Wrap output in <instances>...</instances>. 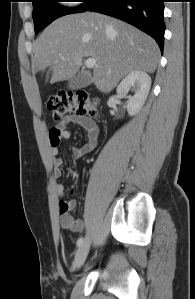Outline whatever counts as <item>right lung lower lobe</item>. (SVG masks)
Segmentation results:
<instances>
[{"instance_id": "98d812e1", "label": "right lung lower lobe", "mask_w": 195, "mask_h": 299, "mask_svg": "<svg viewBox=\"0 0 195 299\" xmlns=\"http://www.w3.org/2000/svg\"><path fill=\"white\" fill-rule=\"evenodd\" d=\"M164 1L93 0L87 10L113 16L139 28L153 37L162 51L165 32Z\"/></svg>"}]
</instances>
